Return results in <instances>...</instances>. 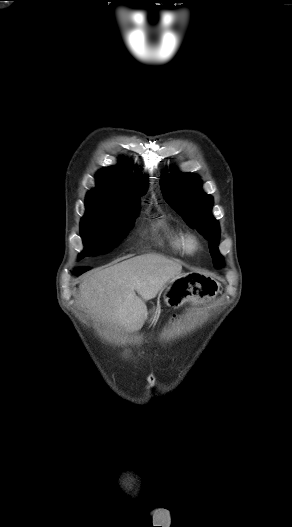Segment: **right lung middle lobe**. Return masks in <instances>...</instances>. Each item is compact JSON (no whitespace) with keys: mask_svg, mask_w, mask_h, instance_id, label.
I'll use <instances>...</instances> for the list:
<instances>
[{"mask_svg":"<svg viewBox=\"0 0 292 527\" xmlns=\"http://www.w3.org/2000/svg\"><path fill=\"white\" fill-rule=\"evenodd\" d=\"M139 204L123 205L86 197V213L80 231L85 245L79 258L111 251L134 226Z\"/></svg>","mask_w":292,"mask_h":527,"instance_id":"obj_1","label":"right lung middle lobe"}]
</instances>
